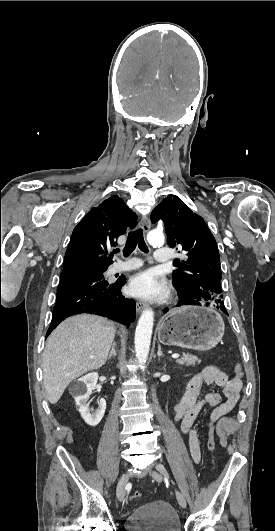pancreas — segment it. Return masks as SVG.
Instances as JSON below:
<instances>
[{
  "label": "pancreas",
  "instance_id": "pancreas-1",
  "mask_svg": "<svg viewBox=\"0 0 275 531\" xmlns=\"http://www.w3.org/2000/svg\"><path fill=\"white\" fill-rule=\"evenodd\" d=\"M177 363L178 365H186V367H190V365H196V363H201V361L198 357H194V355L183 353L181 359H177Z\"/></svg>",
  "mask_w": 275,
  "mask_h": 531
}]
</instances>
